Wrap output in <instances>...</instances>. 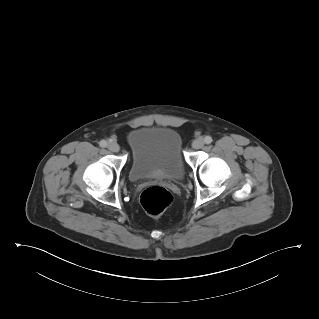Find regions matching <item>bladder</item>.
<instances>
[{"label":"bladder","instance_id":"bladder-1","mask_svg":"<svg viewBox=\"0 0 319 319\" xmlns=\"http://www.w3.org/2000/svg\"><path fill=\"white\" fill-rule=\"evenodd\" d=\"M131 152L129 178L138 182L151 177L180 180L186 167L182 155V139L167 127H140L126 137Z\"/></svg>","mask_w":319,"mask_h":319}]
</instances>
